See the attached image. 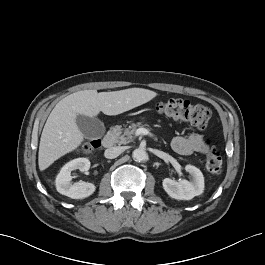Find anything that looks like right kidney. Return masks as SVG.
Listing matches in <instances>:
<instances>
[{
    "label": "right kidney",
    "mask_w": 265,
    "mask_h": 265,
    "mask_svg": "<svg viewBox=\"0 0 265 265\" xmlns=\"http://www.w3.org/2000/svg\"><path fill=\"white\" fill-rule=\"evenodd\" d=\"M90 161L87 158H77L71 160L65 164L55 180V186L57 191L65 196H68L72 199H83L92 195L96 187L92 183L80 181L72 183L71 172L73 170L79 169L84 172L89 170Z\"/></svg>",
    "instance_id": "1"
}]
</instances>
